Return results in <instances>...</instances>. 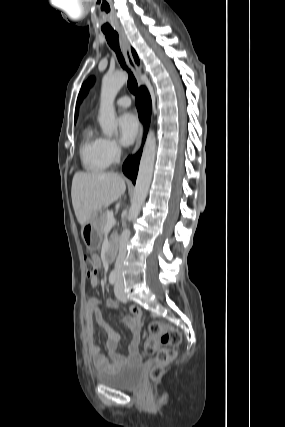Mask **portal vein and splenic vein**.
I'll use <instances>...</instances> for the list:
<instances>
[{"mask_svg":"<svg viewBox=\"0 0 285 427\" xmlns=\"http://www.w3.org/2000/svg\"><path fill=\"white\" fill-rule=\"evenodd\" d=\"M116 224V220L113 216V211L108 212L107 214V224L104 228L105 231L110 230Z\"/></svg>","mask_w":285,"mask_h":427,"instance_id":"portal-vein-and-splenic-vein-1","label":"portal vein and splenic vein"}]
</instances>
